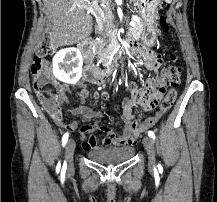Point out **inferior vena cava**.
<instances>
[{"mask_svg": "<svg viewBox=\"0 0 217 202\" xmlns=\"http://www.w3.org/2000/svg\"><path fill=\"white\" fill-rule=\"evenodd\" d=\"M101 2H102V4H108V0H101ZM101 36H102V40H104V42H106V40L108 38V34H107L106 30H102Z\"/></svg>", "mask_w": 217, "mask_h": 202, "instance_id": "1", "label": "inferior vena cava"}]
</instances>
